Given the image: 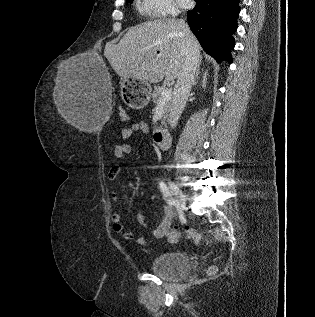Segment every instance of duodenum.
<instances>
[{"instance_id": "410a0bca", "label": "duodenum", "mask_w": 315, "mask_h": 317, "mask_svg": "<svg viewBox=\"0 0 315 317\" xmlns=\"http://www.w3.org/2000/svg\"><path fill=\"white\" fill-rule=\"evenodd\" d=\"M154 141L162 149H168L170 144V139L168 133L164 129H157L154 132Z\"/></svg>"}]
</instances>
